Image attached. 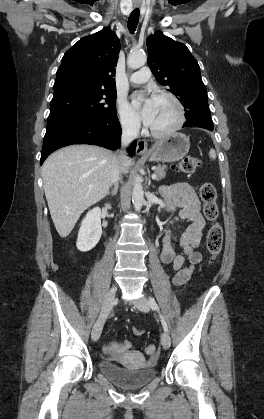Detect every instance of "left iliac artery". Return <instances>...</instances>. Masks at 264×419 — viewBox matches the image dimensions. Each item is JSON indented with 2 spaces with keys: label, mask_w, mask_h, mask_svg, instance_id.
<instances>
[{
  "label": "left iliac artery",
  "mask_w": 264,
  "mask_h": 419,
  "mask_svg": "<svg viewBox=\"0 0 264 419\" xmlns=\"http://www.w3.org/2000/svg\"><path fill=\"white\" fill-rule=\"evenodd\" d=\"M149 304H150V306H151L152 309H154V310H156V311H158L160 313L159 307H158V305H157V303H156V301H155V299L153 297H149ZM160 318H161V322H162V325H163L164 330L166 332H168V327H167L166 321H165V319H164V317H163L162 314H160Z\"/></svg>",
  "instance_id": "44dca946"
}]
</instances>
